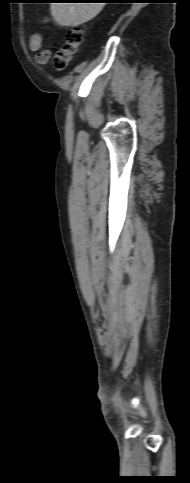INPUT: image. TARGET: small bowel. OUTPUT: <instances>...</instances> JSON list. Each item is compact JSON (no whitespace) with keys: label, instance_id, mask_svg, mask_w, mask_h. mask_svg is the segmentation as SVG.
<instances>
[{"label":"small bowel","instance_id":"obj_1","mask_svg":"<svg viewBox=\"0 0 190 483\" xmlns=\"http://www.w3.org/2000/svg\"><path fill=\"white\" fill-rule=\"evenodd\" d=\"M53 22H54V19L51 17H45L43 19V23L45 25H50ZM43 37H44L43 32H36L30 37V40H29V47L33 52H37L36 61L41 65H45L51 56L50 49L48 48L42 49Z\"/></svg>","mask_w":190,"mask_h":483}]
</instances>
